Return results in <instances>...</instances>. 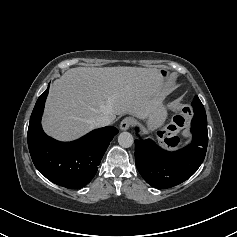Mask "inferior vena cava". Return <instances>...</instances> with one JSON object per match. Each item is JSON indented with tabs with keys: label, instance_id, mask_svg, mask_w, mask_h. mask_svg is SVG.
<instances>
[{
	"label": "inferior vena cava",
	"instance_id": "1",
	"mask_svg": "<svg viewBox=\"0 0 237 237\" xmlns=\"http://www.w3.org/2000/svg\"><path fill=\"white\" fill-rule=\"evenodd\" d=\"M111 123L112 119L106 115L98 116L93 120V125L95 127H104L110 125Z\"/></svg>",
	"mask_w": 237,
	"mask_h": 237
}]
</instances>
